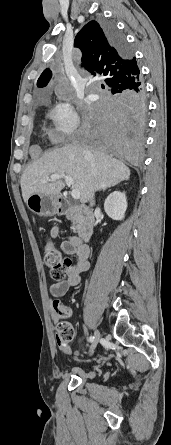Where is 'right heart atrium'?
Wrapping results in <instances>:
<instances>
[{
	"instance_id": "obj_1",
	"label": "right heart atrium",
	"mask_w": 171,
	"mask_h": 445,
	"mask_svg": "<svg viewBox=\"0 0 171 445\" xmlns=\"http://www.w3.org/2000/svg\"><path fill=\"white\" fill-rule=\"evenodd\" d=\"M51 137L56 143L70 140L77 132L80 118L75 107L68 101L56 104L50 112Z\"/></svg>"
}]
</instances>
